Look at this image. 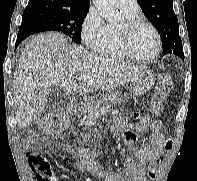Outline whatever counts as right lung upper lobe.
<instances>
[{
    "mask_svg": "<svg viewBox=\"0 0 197 181\" xmlns=\"http://www.w3.org/2000/svg\"><path fill=\"white\" fill-rule=\"evenodd\" d=\"M90 0H29L25 10L35 8H54L70 11L89 10Z\"/></svg>",
    "mask_w": 197,
    "mask_h": 181,
    "instance_id": "obj_1",
    "label": "right lung upper lobe"
}]
</instances>
